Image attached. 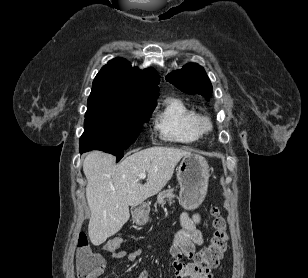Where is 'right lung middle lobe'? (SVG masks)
I'll list each match as a JSON object with an SVG mask.
<instances>
[{"mask_svg": "<svg viewBox=\"0 0 308 278\" xmlns=\"http://www.w3.org/2000/svg\"><path fill=\"white\" fill-rule=\"evenodd\" d=\"M156 102L128 115L85 117L84 133L80 138V151L102 150L119 161L124 150L138 137L144 122L149 120Z\"/></svg>", "mask_w": 308, "mask_h": 278, "instance_id": "1", "label": "right lung middle lobe"}]
</instances>
